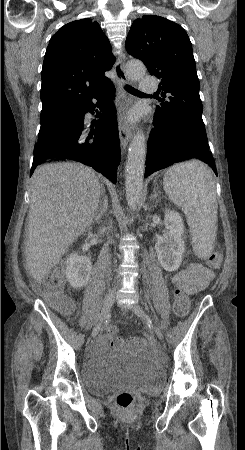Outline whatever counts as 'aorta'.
I'll return each mask as SVG.
<instances>
[{"label": "aorta", "instance_id": "1", "mask_svg": "<svg viewBox=\"0 0 245 450\" xmlns=\"http://www.w3.org/2000/svg\"><path fill=\"white\" fill-rule=\"evenodd\" d=\"M125 69L131 81L140 80L146 73L145 65L138 60H129ZM145 159V136L142 131H138L129 146L125 172L126 200L131 210L137 208L142 194Z\"/></svg>", "mask_w": 245, "mask_h": 450}]
</instances>
